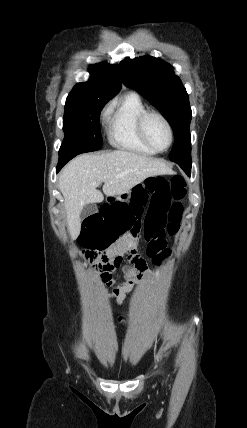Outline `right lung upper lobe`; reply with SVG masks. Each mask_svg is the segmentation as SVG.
I'll return each mask as SVG.
<instances>
[{
    "label": "right lung upper lobe",
    "instance_id": "cb5924a9",
    "mask_svg": "<svg viewBox=\"0 0 247 428\" xmlns=\"http://www.w3.org/2000/svg\"><path fill=\"white\" fill-rule=\"evenodd\" d=\"M90 78L74 86L69 95H92L112 99L121 89L119 67L101 62L89 68Z\"/></svg>",
    "mask_w": 247,
    "mask_h": 428
}]
</instances>
